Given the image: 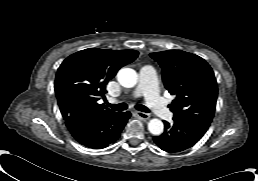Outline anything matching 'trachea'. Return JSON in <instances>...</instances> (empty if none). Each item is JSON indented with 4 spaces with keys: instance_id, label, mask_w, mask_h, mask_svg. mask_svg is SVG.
Listing matches in <instances>:
<instances>
[{
    "instance_id": "3493384b",
    "label": "trachea",
    "mask_w": 258,
    "mask_h": 181,
    "mask_svg": "<svg viewBox=\"0 0 258 181\" xmlns=\"http://www.w3.org/2000/svg\"><path fill=\"white\" fill-rule=\"evenodd\" d=\"M107 105L114 109L115 111H124L128 108L127 104L126 103H120V104H109L107 103ZM135 108L139 111H142V112H149V109L144 106V105H141V104H137L135 105Z\"/></svg>"
}]
</instances>
